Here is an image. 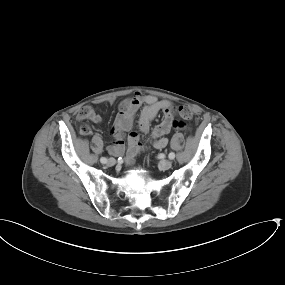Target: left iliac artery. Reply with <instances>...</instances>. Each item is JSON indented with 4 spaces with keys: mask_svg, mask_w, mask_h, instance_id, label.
I'll list each match as a JSON object with an SVG mask.
<instances>
[{
    "mask_svg": "<svg viewBox=\"0 0 285 285\" xmlns=\"http://www.w3.org/2000/svg\"><path fill=\"white\" fill-rule=\"evenodd\" d=\"M168 158L171 159V160H173V159L175 158V153H174V152H170V153L168 154Z\"/></svg>",
    "mask_w": 285,
    "mask_h": 285,
    "instance_id": "left-iliac-artery-1",
    "label": "left iliac artery"
}]
</instances>
